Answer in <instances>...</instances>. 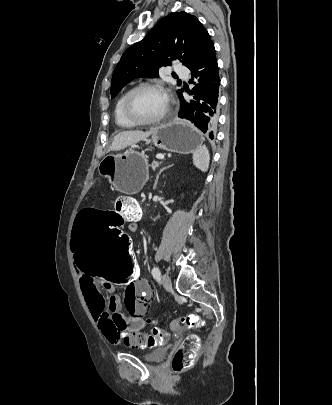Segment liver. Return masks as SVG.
<instances>
[{"label": "liver", "mask_w": 332, "mask_h": 405, "mask_svg": "<svg viewBox=\"0 0 332 405\" xmlns=\"http://www.w3.org/2000/svg\"><path fill=\"white\" fill-rule=\"evenodd\" d=\"M157 129L158 127H151L145 132L142 130L120 132L113 138L109 150L118 151L125 149L128 146L147 139L150 135L155 133Z\"/></svg>", "instance_id": "liver-1"}]
</instances>
